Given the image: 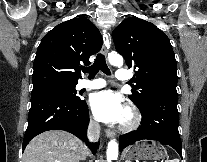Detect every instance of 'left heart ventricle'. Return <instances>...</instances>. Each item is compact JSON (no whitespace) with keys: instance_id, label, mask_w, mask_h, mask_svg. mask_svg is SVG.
I'll return each mask as SVG.
<instances>
[{"instance_id":"obj_1","label":"left heart ventricle","mask_w":207,"mask_h":162,"mask_svg":"<svg viewBox=\"0 0 207 162\" xmlns=\"http://www.w3.org/2000/svg\"><path fill=\"white\" fill-rule=\"evenodd\" d=\"M126 119H127V112L125 111V114H124V116H123V118H122L121 121H124V120H126Z\"/></svg>"}]
</instances>
